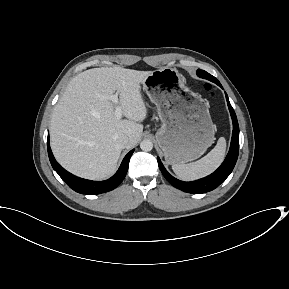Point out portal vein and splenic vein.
Returning a JSON list of instances; mask_svg holds the SVG:
<instances>
[{
	"instance_id": "obj_1",
	"label": "portal vein and splenic vein",
	"mask_w": 289,
	"mask_h": 289,
	"mask_svg": "<svg viewBox=\"0 0 289 289\" xmlns=\"http://www.w3.org/2000/svg\"><path fill=\"white\" fill-rule=\"evenodd\" d=\"M111 101L116 105L115 116L117 118H121L122 117V110H121V107L119 106L118 95L117 94L112 95Z\"/></svg>"
}]
</instances>
